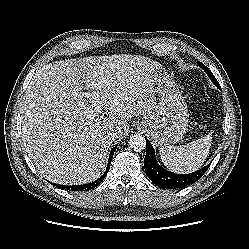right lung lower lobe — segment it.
Masks as SVG:
<instances>
[{"label":"right lung lower lobe","mask_w":249,"mask_h":249,"mask_svg":"<svg viewBox=\"0 0 249 249\" xmlns=\"http://www.w3.org/2000/svg\"><path fill=\"white\" fill-rule=\"evenodd\" d=\"M115 150H116V147H113L111 152H110V157H109L108 166H107L106 171L104 172V174L99 179L95 180L94 182L89 183V184H83V185H75V186H65V185H59V184L58 185L55 184V185L57 187L62 188V189L71 190V191H87V190H90V189H94L95 187H97L101 183V181L107 175Z\"/></svg>","instance_id":"right-lung-lower-lobe-1"}]
</instances>
